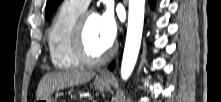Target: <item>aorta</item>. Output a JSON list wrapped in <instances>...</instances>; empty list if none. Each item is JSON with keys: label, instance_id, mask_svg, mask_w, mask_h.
<instances>
[{"label": "aorta", "instance_id": "obj_1", "mask_svg": "<svg viewBox=\"0 0 221 102\" xmlns=\"http://www.w3.org/2000/svg\"><path fill=\"white\" fill-rule=\"evenodd\" d=\"M145 0H129L128 28L121 63V77L127 80L137 61L144 23Z\"/></svg>", "mask_w": 221, "mask_h": 102}]
</instances>
